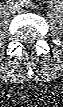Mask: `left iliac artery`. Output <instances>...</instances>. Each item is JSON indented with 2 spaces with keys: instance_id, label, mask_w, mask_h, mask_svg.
<instances>
[{
  "instance_id": "44dca946",
  "label": "left iliac artery",
  "mask_w": 63,
  "mask_h": 107,
  "mask_svg": "<svg viewBox=\"0 0 63 107\" xmlns=\"http://www.w3.org/2000/svg\"><path fill=\"white\" fill-rule=\"evenodd\" d=\"M19 5L31 8V9H39V7L33 3H31L29 0H22L19 1Z\"/></svg>"
}]
</instances>
